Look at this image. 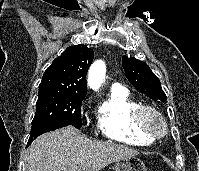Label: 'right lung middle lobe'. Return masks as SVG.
<instances>
[{
    "mask_svg": "<svg viewBox=\"0 0 199 171\" xmlns=\"http://www.w3.org/2000/svg\"><path fill=\"white\" fill-rule=\"evenodd\" d=\"M84 96L52 89H39L32 126L40 122L62 121L79 129Z\"/></svg>",
    "mask_w": 199,
    "mask_h": 171,
    "instance_id": "dd1d6c3e",
    "label": "right lung middle lobe"
}]
</instances>
